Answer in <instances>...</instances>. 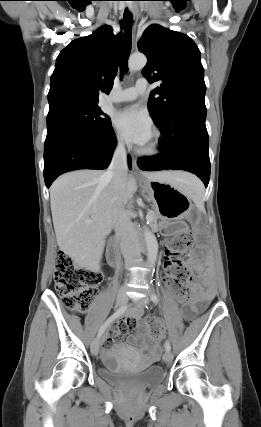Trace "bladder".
Instances as JSON below:
<instances>
[{"mask_svg": "<svg viewBox=\"0 0 261 427\" xmlns=\"http://www.w3.org/2000/svg\"><path fill=\"white\" fill-rule=\"evenodd\" d=\"M98 375L113 384L145 389L162 383L165 378V371L158 365L144 370L125 367L120 364L115 355L109 353L103 358L102 365L98 368Z\"/></svg>", "mask_w": 261, "mask_h": 427, "instance_id": "31cf9c89", "label": "bladder"}]
</instances>
